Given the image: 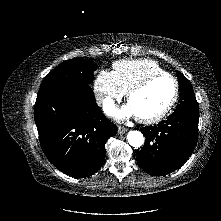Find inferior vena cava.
<instances>
[{"instance_id": "obj_1", "label": "inferior vena cava", "mask_w": 221, "mask_h": 221, "mask_svg": "<svg viewBox=\"0 0 221 221\" xmlns=\"http://www.w3.org/2000/svg\"><path fill=\"white\" fill-rule=\"evenodd\" d=\"M105 98H107V95L101 93L96 96L98 104H101Z\"/></svg>"}]
</instances>
